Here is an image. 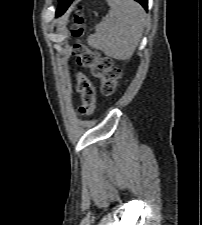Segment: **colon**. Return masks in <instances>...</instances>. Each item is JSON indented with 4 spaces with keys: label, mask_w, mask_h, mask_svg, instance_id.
<instances>
[{
    "label": "colon",
    "mask_w": 202,
    "mask_h": 225,
    "mask_svg": "<svg viewBox=\"0 0 202 225\" xmlns=\"http://www.w3.org/2000/svg\"><path fill=\"white\" fill-rule=\"evenodd\" d=\"M86 30L85 20L81 16L76 18L73 35L80 39ZM76 65L87 69L89 76L100 82V91L104 95H111L118 87L121 71L115 67L110 57L89 50L80 40L75 44ZM78 91L81 95L79 113L83 118L90 119L95 114V88L86 75H79Z\"/></svg>",
    "instance_id": "5ec220e1"
}]
</instances>
